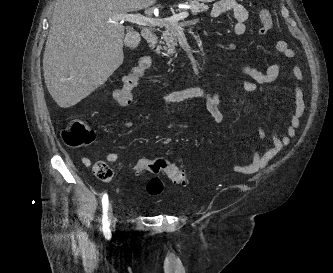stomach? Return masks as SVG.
<instances>
[{"label":"stomach","instance_id":"obj_1","mask_svg":"<svg viewBox=\"0 0 333 273\" xmlns=\"http://www.w3.org/2000/svg\"><path fill=\"white\" fill-rule=\"evenodd\" d=\"M198 1H200L202 3H209V2H213L214 0H198Z\"/></svg>","mask_w":333,"mask_h":273}]
</instances>
